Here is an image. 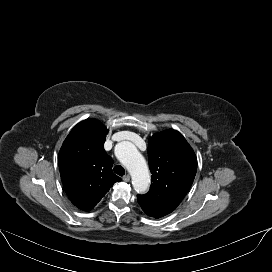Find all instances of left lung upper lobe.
<instances>
[{
    "instance_id": "5c2ea615",
    "label": "left lung upper lobe",
    "mask_w": 272,
    "mask_h": 272,
    "mask_svg": "<svg viewBox=\"0 0 272 272\" xmlns=\"http://www.w3.org/2000/svg\"><path fill=\"white\" fill-rule=\"evenodd\" d=\"M151 187L137 195L143 211L161 218L176 209L190 189L197 171V158L185 138L170 129L152 136L148 143Z\"/></svg>"
}]
</instances>
